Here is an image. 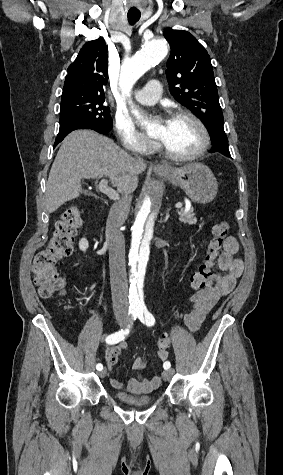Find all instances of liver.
Instances as JSON below:
<instances>
[{
  "instance_id": "obj_1",
  "label": "liver",
  "mask_w": 283,
  "mask_h": 475,
  "mask_svg": "<svg viewBox=\"0 0 283 475\" xmlns=\"http://www.w3.org/2000/svg\"><path fill=\"white\" fill-rule=\"evenodd\" d=\"M144 160H135L113 140L93 130H76L63 140L52 164L46 186V210L56 212L82 192V178L108 176L119 194H133Z\"/></svg>"
}]
</instances>
